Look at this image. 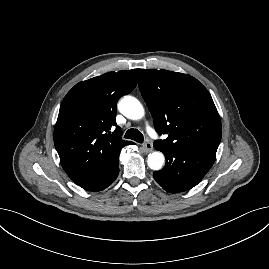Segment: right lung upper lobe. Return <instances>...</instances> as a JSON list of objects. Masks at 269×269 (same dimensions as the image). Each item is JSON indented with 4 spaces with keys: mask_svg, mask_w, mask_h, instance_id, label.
Wrapping results in <instances>:
<instances>
[{
    "mask_svg": "<svg viewBox=\"0 0 269 269\" xmlns=\"http://www.w3.org/2000/svg\"><path fill=\"white\" fill-rule=\"evenodd\" d=\"M139 72H108L88 79L63 99L54 144L64 171L77 185L93 178L132 143L121 139L116 111L118 99L136 87ZM112 126H116L113 133Z\"/></svg>",
    "mask_w": 269,
    "mask_h": 269,
    "instance_id": "obj_1",
    "label": "right lung upper lobe"
}]
</instances>
